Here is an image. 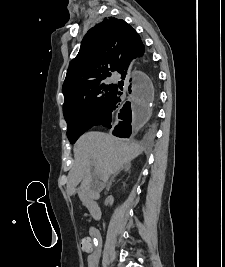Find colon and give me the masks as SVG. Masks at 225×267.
<instances>
[{"label":"colon","instance_id":"5ec220e1","mask_svg":"<svg viewBox=\"0 0 225 267\" xmlns=\"http://www.w3.org/2000/svg\"><path fill=\"white\" fill-rule=\"evenodd\" d=\"M80 245L85 252H90L93 249V244L88 237H82L80 240Z\"/></svg>","mask_w":225,"mask_h":267}]
</instances>
